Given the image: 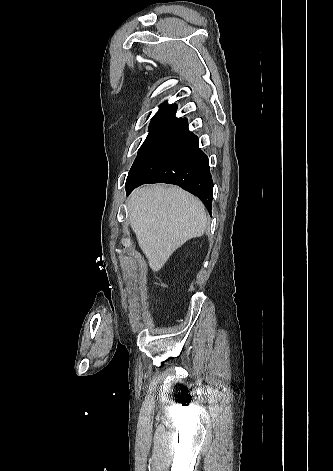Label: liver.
I'll use <instances>...</instances> for the list:
<instances>
[{
	"instance_id": "1",
	"label": "liver",
	"mask_w": 333,
	"mask_h": 471,
	"mask_svg": "<svg viewBox=\"0 0 333 471\" xmlns=\"http://www.w3.org/2000/svg\"><path fill=\"white\" fill-rule=\"evenodd\" d=\"M130 225L150 268L160 270L188 240L207 228L202 202L177 186L147 185L128 198Z\"/></svg>"
}]
</instances>
